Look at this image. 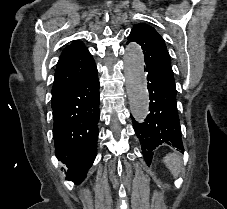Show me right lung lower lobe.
I'll list each match as a JSON object with an SVG mask.
<instances>
[{"label":"right lung lower lobe","instance_id":"98d812e1","mask_svg":"<svg viewBox=\"0 0 227 209\" xmlns=\"http://www.w3.org/2000/svg\"><path fill=\"white\" fill-rule=\"evenodd\" d=\"M56 75L80 79L59 96L52 97L53 137L56 157L67 165V179L76 184L86 177L97 154L99 79L95 62L87 67L68 66Z\"/></svg>","mask_w":227,"mask_h":209}]
</instances>
